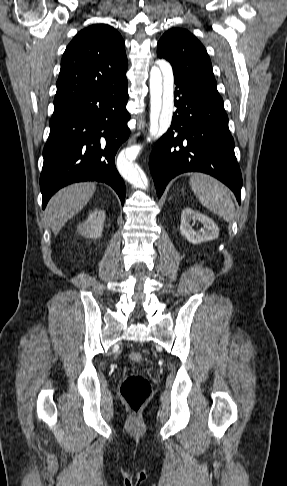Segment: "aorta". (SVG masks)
I'll list each match as a JSON object with an SVG mask.
<instances>
[{
	"label": "aorta",
	"mask_w": 287,
	"mask_h": 486,
	"mask_svg": "<svg viewBox=\"0 0 287 486\" xmlns=\"http://www.w3.org/2000/svg\"><path fill=\"white\" fill-rule=\"evenodd\" d=\"M174 77L172 67L165 60L159 61V66H153L150 71V128L147 141L159 138L169 129L173 116ZM141 150L140 145H134L125 152V157L118 162L122 177L135 187L142 188L143 181L140 169L133 160Z\"/></svg>",
	"instance_id": "1"
}]
</instances>
